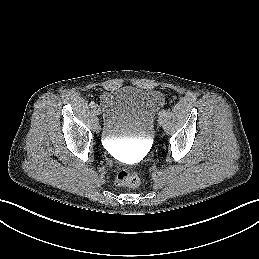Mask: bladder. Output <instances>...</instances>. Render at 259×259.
<instances>
[{"instance_id":"bladder-1","label":"bladder","mask_w":259,"mask_h":259,"mask_svg":"<svg viewBox=\"0 0 259 259\" xmlns=\"http://www.w3.org/2000/svg\"><path fill=\"white\" fill-rule=\"evenodd\" d=\"M161 102L160 93L152 89L124 87L107 92L102 97L103 137L108 141H150Z\"/></svg>"}]
</instances>
